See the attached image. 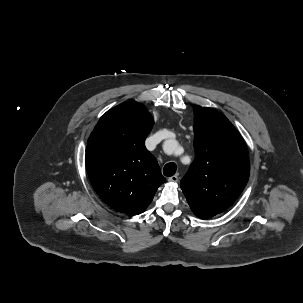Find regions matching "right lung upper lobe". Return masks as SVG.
<instances>
[{
    "label": "right lung upper lobe",
    "mask_w": 303,
    "mask_h": 303,
    "mask_svg": "<svg viewBox=\"0 0 303 303\" xmlns=\"http://www.w3.org/2000/svg\"><path fill=\"white\" fill-rule=\"evenodd\" d=\"M154 120L144 105L122 103L107 111L88 139L86 167L101 200L118 212L137 215L165 182L145 148Z\"/></svg>",
    "instance_id": "right-lung-upper-lobe-1"
}]
</instances>
